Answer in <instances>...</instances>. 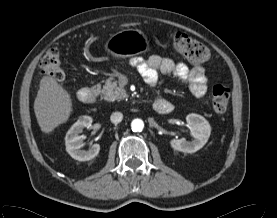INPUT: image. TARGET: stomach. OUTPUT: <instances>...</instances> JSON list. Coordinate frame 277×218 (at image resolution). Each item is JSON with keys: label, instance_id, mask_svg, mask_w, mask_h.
<instances>
[{"label": "stomach", "instance_id": "stomach-1", "mask_svg": "<svg viewBox=\"0 0 277 218\" xmlns=\"http://www.w3.org/2000/svg\"><path fill=\"white\" fill-rule=\"evenodd\" d=\"M146 35L138 29H126L113 34L105 44L106 51L115 57H130L148 50Z\"/></svg>", "mask_w": 277, "mask_h": 218}]
</instances>
